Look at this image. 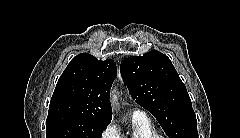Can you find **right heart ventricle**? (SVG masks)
Returning <instances> with one entry per match:
<instances>
[{
  "mask_svg": "<svg viewBox=\"0 0 240 138\" xmlns=\"http://www.w3.org/2000/svg\"><path fill=\"white\" fill-rule=\"evenodd\" d=\"M120 138H158V134L150 120L145 115H133L131 131L122 134Z\"/></svg>",
  "mask_w": 240,
  "mask_h": 138,
  "instance_id": "obj_1",
  "label": "right heart ventricle"
}]
</instances>
